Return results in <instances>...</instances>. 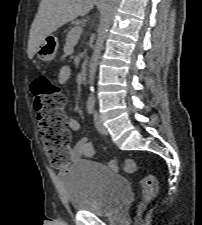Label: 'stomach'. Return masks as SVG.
Masks as SVG:
<instances>
[{"mask_svg":"<svg viewBox=\"0 0 202 225\" xmlns=\"http://www.w3.org/2000/svg\"><path fill=\"white\" fill-rule=\"evenodd\" d=\"M59 42L57 37L53 35L46 36L37 49V56L41 61L50 62L52 61L58 51Z\"/></svg>","mask_w":202,"mask_h":225,"instance_id":"obj_1","label":"stomach"}]
</instances>
